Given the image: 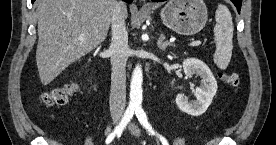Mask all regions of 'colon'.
Instances as JSON below:
<instances>
[{
    "label": "colon",
    "instance_id": "obj_1",
    "mask_svg": "<svg viewBox=\"0 0 276 145\" xmlns=\"http://www.w3.org/2000/svg\"><path fill=\"white\" fill-rule=\"evenodd\" d=\"M221 77L233 86L239 82L238 75L235 73L221 74ZM74 91L75 89L71 85L58 86L43 93L40 100L47 107L62 106L73 95Z\"/></svg>",
    "mask_w": 276,
    "mask_h": 145
}]
</instances>
